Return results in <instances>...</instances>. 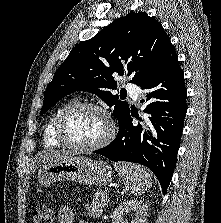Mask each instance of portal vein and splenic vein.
Segmentation results:
<instances>
[{"mask_svg":"<svg viewBox=\"0 0 221 223\" xmlns=\"http://www.w3.org/2000/svg\"><path fill=\"white\" fill-rule=\"evenodd\" d=\"M102 195H108V193L107 192H103Z\"/></svg>","mask_w":221,"mask_h":223,"instance_id":"18ae733b","label":"portal vein and splenic vein"}]
</instances>
